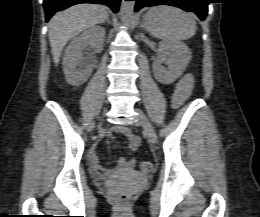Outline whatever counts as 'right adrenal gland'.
<instances>
[{
    "instance_id": "obj_1",
    "label": "right adrenal gland",
    "mask_w": 260,
    "mask_h": 217,
    "mask_svg": "<svg viewBox=\"0 0 260 217\" xmlns=\"http://www.w3.org/2000/svg\"><path fill=\"white\" fill-rule=\"evenodd\" d=\"M106 22L110 24L109 16L107 17Z\"/></svg>"
}]
</instances>
